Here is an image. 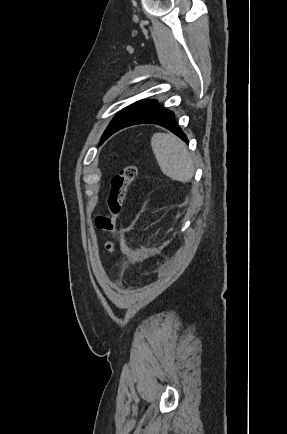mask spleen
<instances>
[{
    "instance_id": "1",
    "label": "spleen",
    "mask_w": 287,
    "mask_h": 434,
    "mask_svg": "<svg viewBox=\"0 0 287 434\" xmlns=\"http://www.w3.org/2000/svg\"><path fill=\"white\" fill-rule=\"evenodd\" d=\"M151 146L160 170L172 180L187 182L194 176V162L185 143L173 134L155 133Z\"/></svg>"
}]
</instances>
